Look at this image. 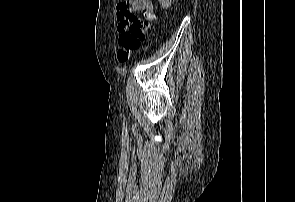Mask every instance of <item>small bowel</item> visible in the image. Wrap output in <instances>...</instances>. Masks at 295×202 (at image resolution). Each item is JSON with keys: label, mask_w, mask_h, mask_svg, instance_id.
<instances>
[{"label": "small bowel", "mask_w": 295, "mask_h": 202, "mask_svg": "<svg viewBox=\"0 0 295 202\" xmlns=\"http://www.w3.org/2000/svg\"><path fill=\"white\" fill-rule=\"evenodd\" d=\"M165 10L171 7V0H159ZM151 0H120L117 4V31L123 32L130 23H141L137 12H143L146 16L152 11Z\"/></svg>", "instance_id": "obj_1"}]
</instances>
